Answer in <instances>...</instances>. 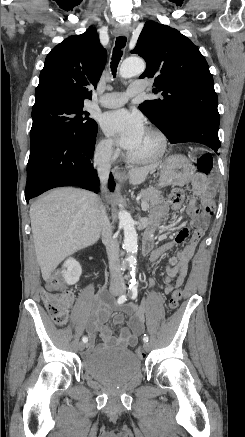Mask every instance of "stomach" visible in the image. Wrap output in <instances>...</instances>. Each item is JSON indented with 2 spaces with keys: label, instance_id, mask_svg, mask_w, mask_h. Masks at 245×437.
Returning <instances> with one entry per match:
<instances>
[{
  "label": "stomach",
  "instance_id": "0dacf381",
  "mask_svg": "<svg viewBox=\"0 0 245 437\" xmlns=\"http://www.w3.org/2000/svg\"><path fill=\"white\" fill-rule=\"evenodd\" d=\"M159 169L162 186H184L191 181L194 175V166L183 155L169 157L159 165Z\"/></svg>",
  "mask_w": 245,
  "mask_h": 437
}]
</instances>
